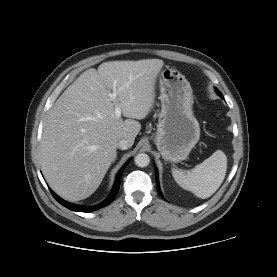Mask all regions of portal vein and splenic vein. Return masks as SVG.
Here are the masks:
<instances>
[{"mask_svg":"<svg viewBox=\"0 0 277 277\" xmlns=\"http://www.w3.org/2000/svg\"><path fill=\"white\" fill-rule=\"evenodd\" d=\"M110 100L114 102L115 104V116L120 118L121 117V107L120 105L117 103V93H116V89L113 90L112 93L109 94Z\"/></svg>","mask_w":277,"mask_h":277,"instance_id":"obj_1","label":"portal vein and splenic vein"}]
</instances>
